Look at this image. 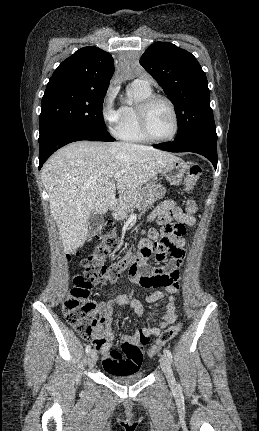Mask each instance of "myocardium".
I'll use <instances>...</instances> for the list:
<instances>
[{
    "label": "myocardium",
    "instance_id": "obj_1",
    "mask_svg": "<svg viewBox=\"0 0 259 431\" xmlns=\"http://www.w3.org/2000/svg\"><path fill=\"white\" fill-rule=\"evenodd\" d=\"M157 101H163L168 105L171 110L174 127L172 133L166 138H156L151 134L149 128V113L153 104ZM138 122L139 127L142 134L146 137V139L150 142L154 143H165L172 141L178 134L179 131V118L177 114V110L173 102L166 96L160 94H151L147 98H145L138 106Z\"/></svg>",
    "mask_w": 259,
    "mask_h": 431
}]
</instances>
